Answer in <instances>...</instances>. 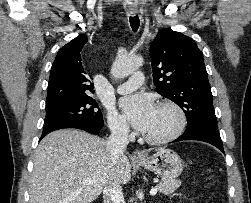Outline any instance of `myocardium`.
<instances>
[{
    "instance_id": "f54148a6",
    "label": "myocardium",
    "mask_w": 251,
    "mask_h": 203,
    "mask_svg": "<svg viewBox=\"0 0 251 203\" xmlns=\"http://www.w3.org/2000/svg\"><path fill=\"white\" fill-rule=\"evenodd\" d=\"M157 107L171 109L177 117L176 125L174 129L166 135L150 136V135L144 134L143 138L145 141L152 144H164V143L171 142L175 140L176 138H178L184 132L186 124H187L186 114L180 105H178L177 103L171 100L162 101L158 104Z\"/></svg>"
}]
</instances>
